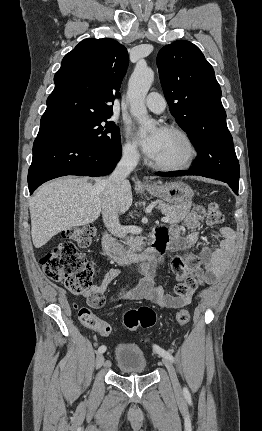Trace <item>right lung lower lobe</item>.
Here are the masks:
<instances>
[{"mask_svg":"<svg viewBox=\"0 0 262 431\" xmlns=\"http://www.w3.org/2000/svg\"><path fill=\"white\" fill-rule=\"evenodd\" d=\"M120 157L121 144L106 148L60 133L39 132L28 172L30 194L44 182L60 176L107 175Z\"/></svg>","mask_w":262,"mask_h":431,"instance_id":"98d812e1","label":"right lung lower lobe"}]
</instances>
